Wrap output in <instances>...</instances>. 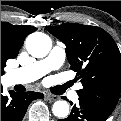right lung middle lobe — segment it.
Listing matches in <instances>:
<instances>
[{
	"label": "right lung middle lobe",
	"mask_w": 121,
	"mask_h": 121,
	"mask_svg": "<svg viewBox=\"0 0 121 121\" xmlns=\"http://www.w3.org/2000/svg\"><path fill=\"white\" fill-rule=\"evenodd\" d=\"M8 60V57L1 52V76L4 74V67L6 65V61Z\"/></svg>",
	"instance_id": "obj_1"
}]
</instances>
